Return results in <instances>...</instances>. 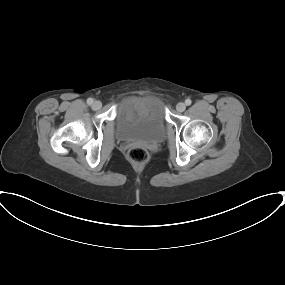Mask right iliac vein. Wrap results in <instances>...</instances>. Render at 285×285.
<instances>
[{
	"mask_svg": "<svg viewBox=\"0 0 285 285\" xmlns=\"http://www.w3.org/2000/svg\"><path fill=\"white\" fill-rule=\"evenodd\" d=\"M101 106H102V103H101L100 101H98V100L94 101V103L92 104V108H93L94 110L100 109Z\"/></svg>",
	"mask_w": 285,
	"mask_h": 285,
	"instance_id": "right-iliac-vein-1",
	"label": "right iliac vein"
}]
</instances>
